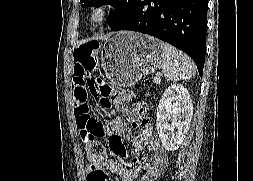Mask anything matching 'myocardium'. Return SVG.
Here are the masks:
<instances>
[{
    "label": "myocardium",
    "instance_id": "obj_1",
    "mask_svg": "<svg viewBox=\"0 0 253 181\" xmlns=\"http://www.w3.org/2000/svg\"><path fill=\"white\" fill-rule=\"evenodd\" d=\"M116 8L113 0H98L94 2L87 14L88 23L93 28L103 27Z\"/></svg>",
    "mask_w": 253,
    "mask_h": 181
}]
</instances>
